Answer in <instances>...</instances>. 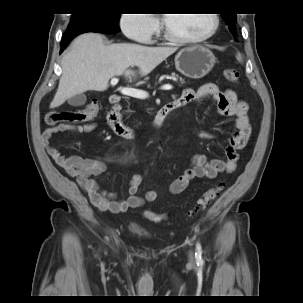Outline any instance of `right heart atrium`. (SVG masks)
<instances>
[{
	"label": "right heart atrium",
	"instance_id": "right-heart-atrium-1",
	"mask_svg": "<svg viewBox=\"0 0 303 303\" xmlns=\"http://www.w3.org/2000/svg\"><path fill=\"white\" fill-rule=\"evenodd\" d=\"M119 27L123 34L139 43H151L159 30L158 20L151 14H122Z\"/></svg>",
	"mask_w": 303,
	"mask_h": 303
}]
</instances>
